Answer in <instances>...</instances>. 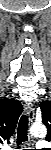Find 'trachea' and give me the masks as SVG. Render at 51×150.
Here are the masks:
<instances>
[{"label": "trachea", "instance_id": "trachea-1", "mask_svg": "<svg viewBox=\"0 0 51 150\" xmlns=\"http://www.w3.org/2000/svg\"><path fill=\"white\" fill-rule=\"evenodd\" d=\"M27 129H28V117L26 115H22L19 121L17 132L18 145L28 140Z\"/></svg>", "mask_w": 51, "mask_h": 150}]
</instances>
